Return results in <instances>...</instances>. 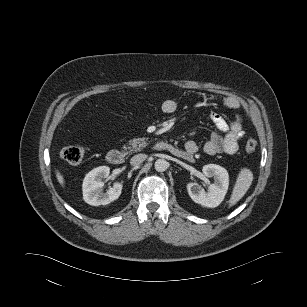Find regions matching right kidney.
Listing matches in <instances>:
<instances>
[{
    "label": "right kidney",
    "instance_id": "obj_1",
    "mask_svg": "<svg viewBox=\"0 0 307 307\" xmlns=\"http://www.w3.org/2000/svg\"><path fill=\"white\" fill-rule=\"evenodd\" d=\"M109 173L108 166H99L86 174L82 184L83 199L86 203L92 206L107 205L119 198L123 187L120 182H115L105 193L102 190V179L107 178Z\"/></svg>",
    "mask_w": 307,
    "mask_h": 307
}]
</instances>
